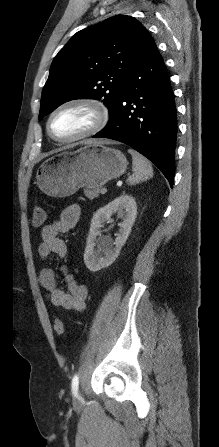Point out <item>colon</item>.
Instances as JSON below:
<instances>
[{"instance_id": "obj_1", "label": "colon", "mask_w": 219, "mask_h": 447, "mask_svg": "<svg viewBox=\"0 0 219 447\" xmlns=\"http://www.w3.org/2000/svg\"><path fill=\"white\" fill-rule=\"evenodd\" d=\"M47 221V215L43 208L36 207L33 212V225L36 227L43 226ZM53 329L56 334L62 335L65 331L64 323L61 319L55 318L53 321Z\"/></svg>"}]
</instances>
